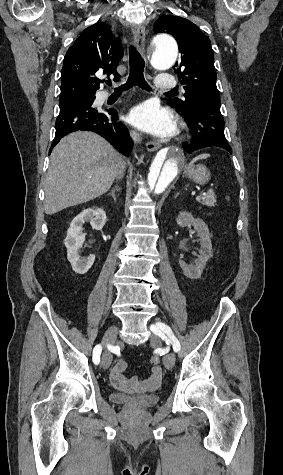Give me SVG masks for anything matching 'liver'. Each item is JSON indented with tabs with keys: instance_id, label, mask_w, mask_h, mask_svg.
<instances>
[{
	"instance_id": "liver-1",
	"label": "liver",
	"mask_w": 283,
	"mask_h": 475,
	"mask_svg": "<svg viewBox=\"0 0 283 475\" xmlns=\"http://www.w3.org/2000/svg\"><path fill=\"white\" fill-rule=\"evenodd\" d=\"M122 156L93 132H74L54 148L45 180V214L99 198L111 188Z\"/></svg>"
}]
</instances>
